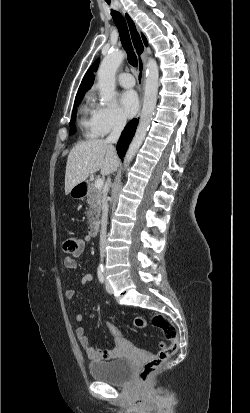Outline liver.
Here are the masks:
<instances>
[{
    "mask_svg": "<svg viewBox=\"0 0 250 413\" xmlns=\"http://www.w3.org/2000/svg\"><path fill=\"white\" fill-rule=\"evenodd\" d=\"M119 158L115 148L103 139H90L76 144L70 151L65 172V194L100 170L107 176L117 170Z\"/></svg>",
    "mask_w": 250,
    "mask_h": 413,
    "instance_id": "obj_1",
    "label": "liver"
}]
</instances>
